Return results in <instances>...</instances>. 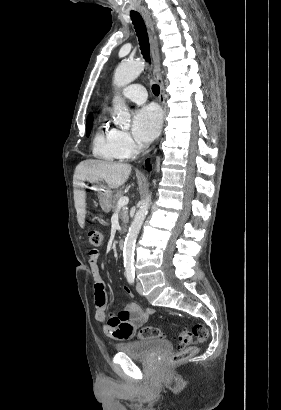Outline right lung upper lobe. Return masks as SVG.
<instances>
[{
  "label": "right lung upper lobe",
  "instance_id": "1",
  "mask_svg": "<svg viewBox=\"0 0 281 410\" xmlns=\"http://www.w3.org/2000/svg\"><path fill=\"white\" fill-rule=\"evenodd\" d=\"M92 116V114L90 113L88 117Z\"/></svg>",
  "mask_w": 281,
  "mask_h": 410
}]
</instances>
